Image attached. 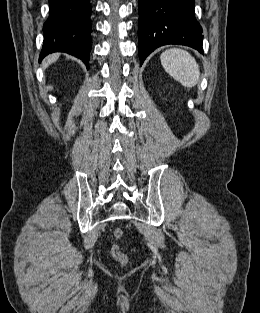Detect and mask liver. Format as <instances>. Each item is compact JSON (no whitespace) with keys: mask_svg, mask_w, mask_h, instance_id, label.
Instances as JSON below:
<instances>
[{"mask_svg":"<svg viewBox=\"0 0 260 313\" xmlns=\"http://www.w3.org/2000/svg\"><path fill=\"white\" fill-rule=\"evenodd\" d=\"M58 58H59V54L58 53L50 55L43 62V67L44 68L48 67L50 64L54 63Z\"/></svg>","mask_w":260,"mask_h":313,"instance_id":"obj_1","label":"liver"}]
</instances>
